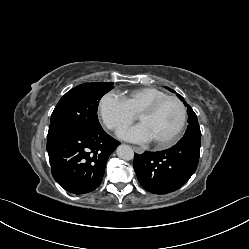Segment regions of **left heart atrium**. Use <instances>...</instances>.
<instances>
[{
	"instance_id": "39dd6f15",
	"label": "left heart atrium",
	"mask_w": 249,
	"mask_h": 249,
	"mask_svg": "<svg viewBox=\"0 0 249 249\" xmlns=\"http://www.w3.org/2000/svg\"><path fill=\"white\" fill-rule=\"evenodd\" d=\"M119 136L135 143H145L152 140L151 135L142 123L121 131Z\"/></svg>"
}]
</instances>
